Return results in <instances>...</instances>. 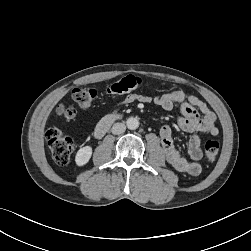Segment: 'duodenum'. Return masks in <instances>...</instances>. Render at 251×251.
I'll use <instances>...</instances> for the list:
<instances>
[{
    "label": "duodenum",
    "mask_w": 251,
    "mask_h": 251,
    "mask_svg": "<svg viewBox=\"0 0 251 251\" xmlns=\"http://www.w3.org/2000/svg\"><path fill=\"white\" fill-rule=\"evenodd\" d=\"M119 118L118 115L115 114H110V115H106L105 117H103L97 124L94 134L97 138L102 137L107 131L108 129L112 126V124L117 121V119Z\"/></svg>",
    "instance_id": "obj_1"
}]
</instances>
